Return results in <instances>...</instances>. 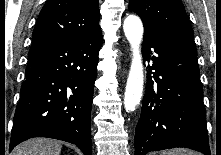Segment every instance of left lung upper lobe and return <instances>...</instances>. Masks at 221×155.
Instances as JSON below:
<instances>
[{
    "label": "left lung upper lobe",
    "instance_id": "5c2ea615",
    "mask_svg": "<svg viewBox=\"0 0 221 155\" xmlns=\"http://www.w3.org/2000/svg\"><path fill=\"white\" fill-rule=\"evenodd\" d=\"M129 9L141 17L144 31L196 49L193 30L181 0H130Z\"/></svg>",
    "mask_w": 221,
    "mask_h": 155
}]
</instances>
